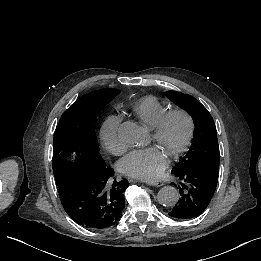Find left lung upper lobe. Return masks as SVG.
Here are the masks:
<instances>
[{"instance_id":"obj_1","label":"left lung upper lobe","mask_w":261,"mask_h":261,"mask_svg":"<svg viewBox=\"0 0 261 261\" xmlns=\"http://www.w3.org/2000/svg\"><path fill=\"white\" fill-rule=\"evenodd\" d=\"M165 95L182 109H185L195 124L192 146L172 171L199 169L210 173L219 172V145L216 126L207 109L194 97L176 91Z\"/></svg>"}]
</instances>
